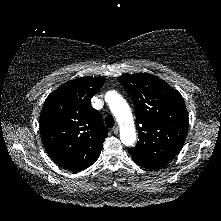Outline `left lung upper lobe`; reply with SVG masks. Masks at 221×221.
<instances>
[{"label": "left lung upper lobe", "mask_w": 221, "mask_h": 221, "mask_svg": "<svg viewBox=\"0 0 221 221\" xmlns=\"http://www.w3.org/2000/svg\"><path fill=\"white\" fill-rule=\"evenodd\" d=\"M118 79L135 105L139 141L128 150L132 159L167 164L183 147L188 131V113L181 94L148 73Z\"/></svg>", "instance_id": "left-lung-upper-lobe-1"}]
</instances>
